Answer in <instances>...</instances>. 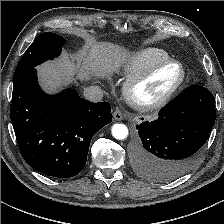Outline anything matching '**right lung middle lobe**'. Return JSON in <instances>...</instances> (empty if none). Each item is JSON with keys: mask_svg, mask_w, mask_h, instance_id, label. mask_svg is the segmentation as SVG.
Masks as SVG:
<instances>
[{"mask_svg": "<svg viewBox=\"0 0 224 224\" xmlns=\"http://www.w3.org/2000/svg\"><path fill=\"white\" fill-rule=\"evenodd\" d=\"M64 43L63 37L55 33L45 32L38 36L20 59L14 73V82L33 67L57 57Z\"/></svg>", "mask_w": 224, "mask_h": 224, "instance_id": "obj_1", "label": "right lung middle lobe"}]
</instances>
